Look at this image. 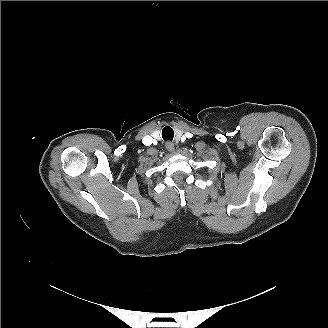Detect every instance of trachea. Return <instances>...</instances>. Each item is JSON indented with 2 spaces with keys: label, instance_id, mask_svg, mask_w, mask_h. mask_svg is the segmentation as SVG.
Segmentation results:
<instances>
[{
  "label": "trachea",
  "instance_id": "trachea-1",
  "mask_svg": "<svg viewBox=\"0 0 328 328\" xmlns=\"http://www.w3.org/2000/svg\"><path fill=\"white\" fill-rule=\"evenodd\" d=\"M162 137L165 141H172L174 138V131L171 127H164L162 130Z\"/></svg>",
  "mask_w": 328,
  "mask_h": 328
}]
</instances>
